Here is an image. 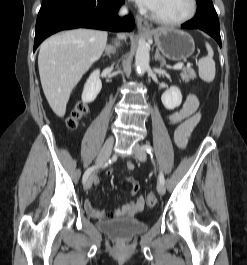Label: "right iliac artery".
Here are the masks:
<instances>
[{"label":"right iliac artery","instance_id":"82829eb1","mask_svg":"<svg viewBox=\"0 0 247 265\" xmlns=\"http://www.w3.org/2000/svg\"><path fill=\"white\" fill-rule=\"evenodd\" d=\"M106 165H107V164H106ZM106 165H105V166H106ZM96 168H97V166H92V167L88 168V169L85 171V173H84V175H83V179H82L83 184H85V182L87 181V179H88L89 175L91 174V172H92L93 170H95Z\"/></svg>","mask_w":247,"mask_h":265}]
</instances>
